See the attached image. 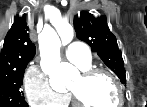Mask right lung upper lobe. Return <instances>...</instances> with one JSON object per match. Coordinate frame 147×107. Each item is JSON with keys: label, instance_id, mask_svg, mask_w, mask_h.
Segmentation results:
<instances>
[{"label": "right lung upper lobe", "instance_id": "1", "mask_svg": "<svg viewBox=\"0 0 147 107\" xmlns=\"http://www.w3.org/2000/svg\"><path fill=\"white\" fill-rule=\"evenodd\" d=\"M25 16L17 17L8 31L0 54V75L26 68L35 55Z\"/></svg>", "mask_w": 147, "mask_h": 107}]
</instances>
